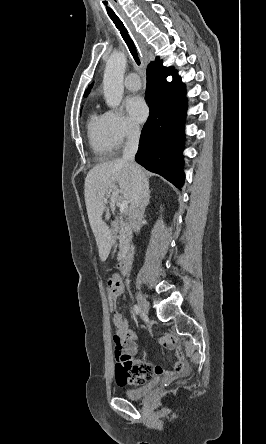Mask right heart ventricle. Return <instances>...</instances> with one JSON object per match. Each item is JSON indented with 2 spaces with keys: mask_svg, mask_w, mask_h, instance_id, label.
I'll return each mask as SVG.
<instances>
[{
  "mask_svg": "<svg viewBox=\"0 0 266 444\" xmlns=\"http://www.w3.org/2000/svg\"><path fill=\"white\" fill-rule=\"evenodd\" d=\"M87 136L92 151L101 158L111 157L114 144L110 138L105 115L93 111L87 119Z\"/></svg>",
  "mask_w": 266,
  "mask_h": 444,
  "instance_id": "e07e8e85",
  "label": "right heart ventricle"
}]
</instances>
